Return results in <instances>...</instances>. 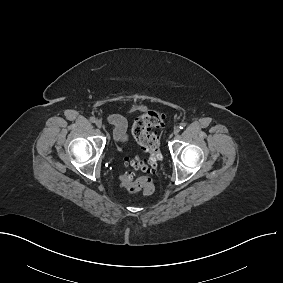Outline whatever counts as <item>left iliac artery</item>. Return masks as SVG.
I'll return each instance as SVG.
<instances>
[{
    "label": "left iliac artery",
    "mask_w": 283,
    "mask_h": 283,
    "mask_svg": "<svg viewBox=\"0 0 283 283\" xmlns=\"http://www.w3.org/2000/svg\"><path fill=\"white\" fill-rule=\"evenodd\" d=\"M185 127H186V123H181L179 126L180 129H184Z\"/></svg>",
    "instance_id": "1"
}]
</instances>
